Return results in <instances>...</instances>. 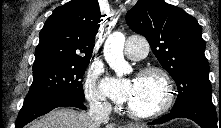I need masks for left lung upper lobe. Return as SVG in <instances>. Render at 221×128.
Here are the masks:
<instances>
[{
  "label": "left lung upper lobe",
  "mask_w": 221,
  "mask_h": 128,
  "mask_svg": "<svg viewBox=\"0 0 221 128\" xmlns=\"http://www.w3.org/2000/svg\"><path fill=\"white\" fill-rule=\"evenodd\" d=\"M126 22L148 40L176 82L178 97L171 111L194 102L212 104L205 42L194 17L164 0H138L127 12Z\"/></svg>",
  "instance_id": "left-lung-upper-lobe-1"
}]
</instances>
